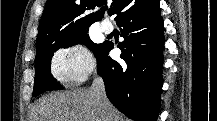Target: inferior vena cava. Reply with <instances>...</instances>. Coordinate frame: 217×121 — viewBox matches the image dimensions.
Masks as SVG:
<instances>
[{
	"label": "inferior vena cava",
	"mask_w": 217,
	"mask_h": 121,
	"mask_svg": "<svg viewBox=\"0 0 217 121\" xmlns=\"http://www.w3.org/2000/svg\"><path fill=\"white\" fill-rule=\"evenodd\" d=\"M90 90L92 91L95 97L96 103L100 106H104L107 101V97L105 92L104 81L101 77L95 75Z\"/></svg>",
	"instance_id": "1"
}]
</instances>
